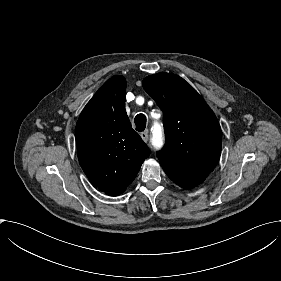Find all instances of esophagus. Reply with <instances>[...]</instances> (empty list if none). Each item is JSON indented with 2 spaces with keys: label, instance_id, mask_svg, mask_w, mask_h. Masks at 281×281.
<instances>
[{
  "label": "esophagus",
  "instance_id": "esophagus-1",
  "mask_svg": "<svg viewBox=\"0 0 281 281\" xmlns=\"http://www.w3.org/2000/svg\"><path fill=\"white\" fill-rule=\"evenodd\" d=\"M140 136L142 137V139H143L145 142H147V141H148V139H149V136H148V131H147V130H146V131L141 132V133H140Z\"/></svg>",
  "mask_w": 281,
  "mask_h": 281
}]
</instances>
